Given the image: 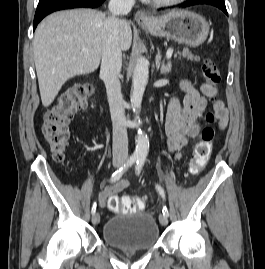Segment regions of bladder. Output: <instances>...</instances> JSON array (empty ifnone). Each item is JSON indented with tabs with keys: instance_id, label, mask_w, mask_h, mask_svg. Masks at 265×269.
Wrapping results in <instances>:
<instances>
[{
	"instance_id": "31cf9c89",
	"label": "bladder",
	"mask_w": 265,
	"mask_h": 269,
	"mask_svg": "<svg viewBox=\"0 0 265 269\" xmlns=\"http://www.w3.org/2000/svg\"><path fill=\"white\" fill-rule=\"evenodd\" d=\"M159 237L157 222L147 212L112 216L103 228L105 243L123 251L151 249L158 243Z\"/></svg>"
}]
</instances>
